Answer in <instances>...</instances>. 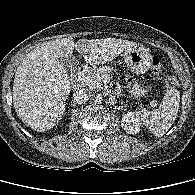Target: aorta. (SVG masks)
Wrapping results in <instances>:
<instances>
[{
	"instance_id": "762f6f07",
	"label": "aorta",
	"mask_w": 195,
	"mask_h": 195,
	"mask_svg": "<svg viewBox=\"0 0 195 195\" xmlns=\"http://www.w3.org/2000/svg\"><path fill=\"white\" fill-rule=\"evenodd\" d=\"M102 95L101 94H97V95H95L94 97H93V101H94V103H96V104H100L101 102H102Z\"/></svg>"
}]
</instances>
